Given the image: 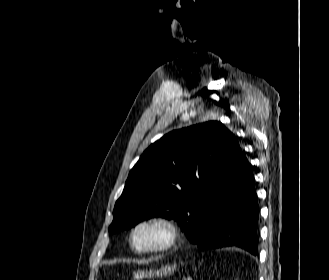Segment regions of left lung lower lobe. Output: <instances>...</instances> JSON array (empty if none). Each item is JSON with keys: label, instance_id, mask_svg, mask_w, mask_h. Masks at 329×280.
<instances>
[{"label": "left lung lower lobe", "instance_id": "obj_1", "mask_svg": "<svg viewBox=\"0 0 329 280\" xmlns=\"http://www.w3.org/2000/svg\"><path fill=\"white\" fill-rule=\"evenodd\" d=\"M232 181L200 206L188 239L200 248L239 247L257 254L258 202L251 166L242 151L232 159Z\"/></svg>", "mask_w": 329, "mask_h": 280}]
</instances>
